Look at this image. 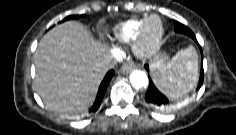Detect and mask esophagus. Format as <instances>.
Returning <instances> with one entry per match:
<instances>
[{"label": "esophagus", "instance_id": "34e87169", "mask_svg": "<svg viewBox=\"0 0 236 135\" xmlns=\"http://www.w3.org/2000/svg\"><path fill=\"white\" fill-rule=\"evenodd\" d=\"M134 68H135V66L133 64H124L121 67V71L123 73H128V72H131Z\"/></svg>", "mask_w": 236, "mask_h": 135}]
</instances>
